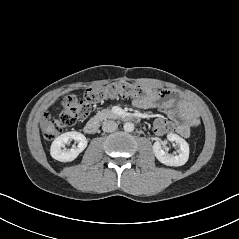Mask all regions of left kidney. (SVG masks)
Masks as SVG:
<instances>
[{"mask_svg": "<svg viewBox=\"0 0 239 239\" xmlns=\"http://www.w3.org/2000/svg\"><path fill=\"white\" fill-rule=\"evenodd\" d=\"M167 138L171 142H175L179 146L178 155H168L161 146V143L156 141L153 144V153L155 157L163 164L167 166H182L184 165L189 158V145L188 143L178 136L177 134L170 133L167 135Z\"/></svg>", "mask_w": 239, "mask_h": 239, "instance_id": "1", "label": "left kidney"}]
</instances>
